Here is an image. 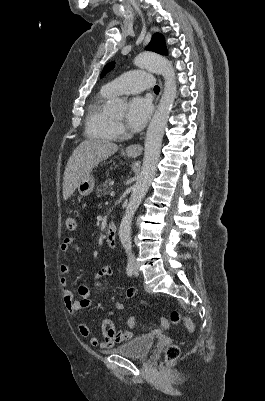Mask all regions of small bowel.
Instances as JSON below:
<instances>
[{
  "instance_id": "small-bowel-1",
  "label": "small bowel",
  "mask_w": 265,
  "mask_h": 401,
  "mask_svg": "<svg viewBox=\"0 0 265 401\" xmlns=\"http://www.w3.org/2000/svg\"><path fill=\"white\" fill-rule=\"evenodd\" d=\"M73 244L74 238L66 237L60 245L61 252L66 253ZM74 248L78 253L81 252V247L78 244H74ZM70 270L71 267L67 264H62L59 268V272L61 275V285L65 288L63 293V300L67 310L72 315H78L81 310L89 308L92 305V292L87 285H80L78 288L80 299H76L74 293L67 288V275L69 274ZM111 274L112 270L110 267L104 266L100 268L92 278L95 288H105L106 284L104 283V280L110 277ZM135 294L136 289L130 288L127 290L126 296L130 298ZM114 309L115 311H122L123 304L120 302L115 303ZM78 332L82 337L87 338L91 346L99 347L101 350H108L114 347L116 344L123 343L131 338L130 332L118 331L115 324L109 319H105L102 322L103 341H99L97 337L92 335L89 326L84 322H79Z\"/></svg>"
}]
</instances>
